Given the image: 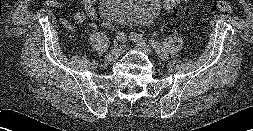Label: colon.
<instances>
[{
    "instance_id": "obj_1",
    "label": "colon",
    "mask_w": 253,
    "mask_h": 131,
    "mask_svg": "<svg viewBox=\"0 0 253 131\" xmlns=\"http://www.w3.org/2000/svg\"><path fill=\"white\" fill-rule=\"evenodd\" d=\"M162 1H163V6L166 11H175L182 2V0H162ZM213 11L232 13L233 8H232V5L230 4V2H228L227 0H218L213 6ZM102 26L107 31L114 32L113 23H111L107 20H104L102 22Z\"/></svg>"
}]
</instances>
